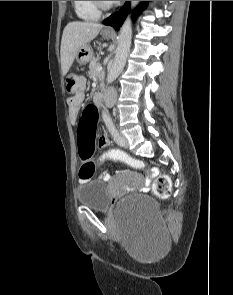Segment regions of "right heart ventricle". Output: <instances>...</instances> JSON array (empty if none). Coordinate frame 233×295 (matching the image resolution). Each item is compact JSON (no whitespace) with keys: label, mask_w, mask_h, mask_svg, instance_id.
<instances>
[{"label":"right heart ventricle","mask_w":233,"mask_h":295,"mask_svg":"<svg viewBox=\"0 0 233 295\" xmlns=\"http://www.w3.org/2000/svg\"><path fill=\"white\" fill-rule=\"evenodd\" d=\"M74 11L80 19L95 21L100 18L101 12L92 1H72Z\"/></svg>","instance_id":"1"}]
</instances>
